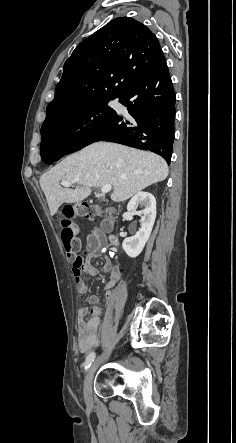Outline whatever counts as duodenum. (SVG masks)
<instances>
[{"label": "duodenum", "mask_w": 236, "mask_h": 443, "mask_svg": "<svg viewBox=\"0 0 236 443\" xmlns=\"http://www.w3.org/2000/svg\"><path fill=\"white\" fill-rule=\"evenodd\" d=\"M111 246L116 247L118 243V239L115 236L110 237L109 239Z\"/></svg>", "instance_id": "duodenum-1"}]
</instances>
